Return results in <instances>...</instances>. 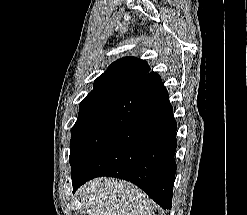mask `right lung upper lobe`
Masks as SVG:
<instances>
[{
    "label": "right lung upper lobe",
    "instance_id": "1",
    "mask_svg": "<svg viewBox=\"0 0 247 215\" xmlns=\"http://www.w3.org/2000/svg\"><path fill=\"white\" fill-rule=\"evenodd\" d=\"M150 67L147 62L135 58L124 57L113 62L108 69L94 82V90L129 89L149 74Z\"/></svg>",
    "mask_w": 247,
    "mask_h": 215
}]
</instances>
